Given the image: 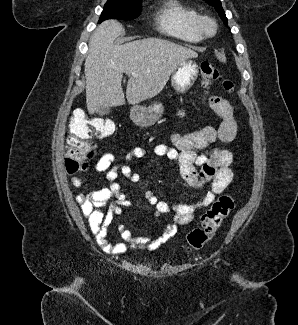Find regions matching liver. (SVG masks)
<instances>
[{
    "mask_svg": "<svg viewBox=\"0 0 298 325\" xmlns=\"http://www.w3.org/2000/svg\"><path fill=\"white\" fill-rule=\"evenodd\" d=\"M124 32L121 22L113 18L104 20L92 32L84 62L89 114L101 106H119L126 100L128 104H137L157 96L179 62L198 56L193 48L153 36L115 44L114 40ZM123 72L129 76L126 100ZM131 72L138 76H132Z\"/></svg>",
    "mask_w": 298,
    "mask_h": 325,
    "instance_id": "liver-1",
    "label": "liver"
}]
</instances>
